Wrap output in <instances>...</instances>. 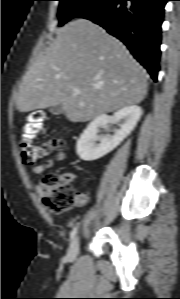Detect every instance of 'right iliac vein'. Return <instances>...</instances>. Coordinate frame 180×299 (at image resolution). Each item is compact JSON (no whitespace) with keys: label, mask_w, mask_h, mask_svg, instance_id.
<instances>
[{"label":"right iliac vein","mask_w":180,"mask_h":299,"mask_svg":"<svg viewBox=\"0 0 180 299\" xmlns=\"http://www.w3.org/2000/svg\"><path fill=\"white\" fill-rule=\"evenodd\" d=\"M79 253V238L76 237L72 240L68 253H67V258L69 261L75 260Z\"/></svg>","instance_id":"1"}]
</instances>
